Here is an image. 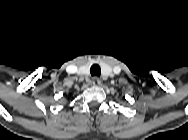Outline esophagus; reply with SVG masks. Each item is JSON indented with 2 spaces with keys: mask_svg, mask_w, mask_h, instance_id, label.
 <instances>
[{
  "mask_svg": "<svg viewBox=\"0 0 188 140\" xmlns=\"http://www.w3.org/2000/svg\"><path fill=\"white\" fill-rule=\"evenodd\" d=\"M93 85H100L101 79L99 77H94L92 80Z\"/></svg>",
  "mask_w": 188,
  "mask_h": 140,
  "instance_id": "1",
  "label": "esophagus"
}]
</instances>
